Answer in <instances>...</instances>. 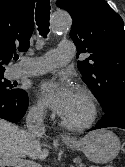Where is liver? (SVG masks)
<instances>
[{
	"label": "liver",
	"mask_w": 125,
	"mask_h": 167,
	"mask_svg": "<svg viewBox=\"0 0 125 167\" xmlns=\"http://www.w3.org/2000/svg\"><path fill=\"white\" fill-rule=\"evenodd\" d=\"M49 154L41 148L39 136L20 129L15 124L0 119V159L22 158L44 160Z\"/></svg>",
	"instance_id": "6515ba94"
}]
</instances>
